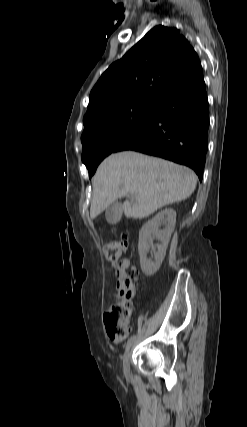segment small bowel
<instances>
[{
  "mask_svg": "<svg viewBox=\"0 0 247 427\" xmlns=\"http://www.w3.org/2000/svg\"><path fill=\"white\" fill-rule=\"evenodd\" d=\"M130 265L131 261L128 258H124L120 262L114 264L117 277L115 284V296L117 299H130L135 294V286L127 273V269Z\"/></svg>",
  "mask_w": 247,
  "mask_h": 427,
  "instance_id": "obj_1",
  "label": "small bowel"
}]
</instances>
